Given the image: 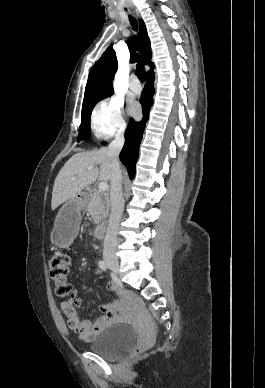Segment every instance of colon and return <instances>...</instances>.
I'll return each instance as SVG.
<instances>
[{"label":"colon","mask_w":265,"mask_h":388,"mask_svg":"<svg viewBox=\"0 0 265 388\" xmlns=\"http://www.w3.org/2000/svg\"><path fill=\"white\" fill-rule=\"evenodd\" d=\"M69 265L70 257L64 253L55 252L49 258V276L54 282L55 294L61 298L70 297L73 292L71 284L67 281ZM139 352V348L135 350V354H138Z\"/></svg>","instance_id":"obj_1"}]
</instances>
